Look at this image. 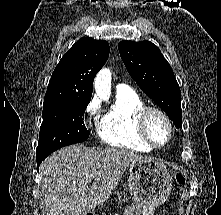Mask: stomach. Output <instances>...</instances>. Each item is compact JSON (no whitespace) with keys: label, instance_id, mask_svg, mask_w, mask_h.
<instances>
[{"label":"stomach","instance_id":"0dacf381","mask_svg":"<svg viewBox=\"0 0 221 215\" xmlns=\"http://www.w3.org/2000/svg\"><path fill=\"white\" fill-rule=\"evenodd\" d=\"M128 186L133 203L124 210V215H153L171 192L172 177L165 164L148 159L129 167Z\"/></svg>","mask_w":221,"mask_h":215}]
</instances>
